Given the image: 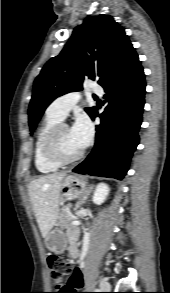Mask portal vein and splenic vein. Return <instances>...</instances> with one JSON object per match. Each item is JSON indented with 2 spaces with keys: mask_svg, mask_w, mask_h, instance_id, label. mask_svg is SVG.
Wrapping results in <instances>:
<instances>
[{
  "mask_svg": "<svg viewBox=\"0 0 170 293\" xmlns=\"http://www.w3.org/2000/svg\"><path fill=\"white\" fill-rule=\"evenodd\" d=\"M71 223L74 224V225H78L79 224V221L73 220V221H71Z\"/></svg>",
  "mask_w": 170,
  "mask_h": 293,
  "instance_id": "portal-vein-and-splenic-vein-1",
  "label": "portal vein and splenic vein"
}]
</instances>
